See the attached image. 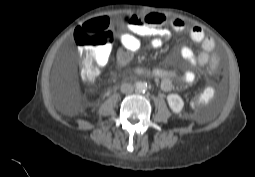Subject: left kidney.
<instances>
[{
    "label": "left kidney",
    "instance_id": "5707ae66",
    "mask_svg": "<svg viewBox=\"0 0 255 177\" xmlns=\"http://www.w3.org/2000/svg\"><path fill=\"white\" fill-rule=\"evenodd\" d=\"M167 101H168V104L173 112L179 113L182 111L184 102L179 95L169 94L167 96Z\"/></svg>",
    "mask_w": 255,
    "mask_h": 177
}]
</instances>
